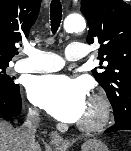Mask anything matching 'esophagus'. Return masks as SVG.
<instances>
[{"label": "esophagus", "mask_w": 131, "mask_h": 151, "mask_svg": "<svg viewBox=\"0 0 131 151\" xmlns=\"http://www.w3.org/2000/svg\"><path fill=\"white\" fill-rule=\"evenodd\" d=\"M49 138L52 144L56 146H65L66 141L57 133V132H50Z\"/></svg>", "instance_id": "esophagus-1"}]
</instances>
